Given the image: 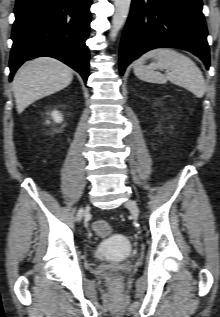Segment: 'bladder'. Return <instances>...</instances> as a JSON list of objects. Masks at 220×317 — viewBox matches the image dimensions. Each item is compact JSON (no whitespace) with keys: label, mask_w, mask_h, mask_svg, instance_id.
I'll use <instances>...</instances> for the list:
<instances>
[{"label":"bladder","mask_w":220,"mask_h":317,"mask_svg":"<svg viewBox=\"0 0 220 317\" xmlns=\"http://www.w3.org/2000/svg\"><path fill=\"white\" fill-rule=\"evenodd\" d=\"M132 254V246L126 236L112 233L97 244L94 256L97 259L123 260Z\"/></svg>","instance_id":"obj_1"}]
</instances>
